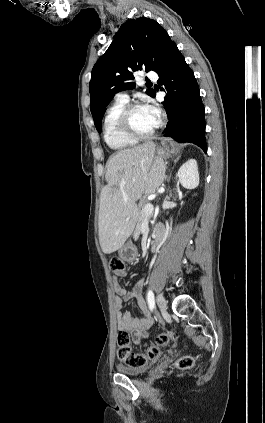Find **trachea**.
Listing matches in <instances>:
<instances>
[{"instance_id": "obj_1", "label": "trachea", "mask_w": 265, "mask_h": 423, "mask_svg": "<svg viewBox=\"0 0 265 423\" xmlns=\"http://www.w3.org/2000/svg\"><path fill=\"white\" fill-rule=\"evenodd\" d=\"M147 84H151V82H147Z\"/></svg>"}]
</instances>
